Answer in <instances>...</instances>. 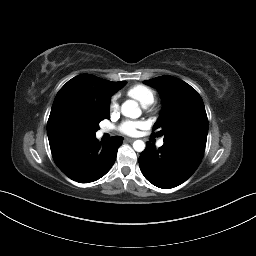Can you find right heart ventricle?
I'll return each instance as SVG.
<instances>
[{
	"mask_svg": "<svg viewBox=\"0 0 256 256\" xmlns=\"http://www.w3.org/2000/svg\"><path fill=\"white\" fill-rule=\"evenodd\" d=\"M126 94L145 107L155 101V91L143 84L131 86L127 89Z\"/></svg>",
	"mask_w": 256,
	"mask_h": 256,
	"instance_id": "right-heart-ventricle-1",
	"label": "right heart ventricle"
}]
</instances>
